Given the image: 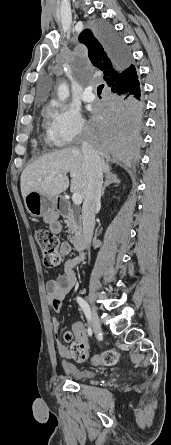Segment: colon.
<instances>
[{"mask_svg":"<svg viewBox=\"0 0 171 445\" xmlns=\"http://www.w3.org/2000/svg\"><path fill=\"white\" fill-rule=\"evenodd\" d=\"M36 240L40 246L43 255V265L47 268H55L62 262V256L59 252V239L48 230H37ZM66 341L71 340V334L66 332L64 335ZM71 353L75 360L84 361L88 356L87 348L82 343L74 342L71 345ZM118 354L113 350H106L103 353L93 357L95 364L112 366L118 362Z\"/></svg>","mask_w":171,"mask_h":445,"instance_id":"5ec220e1","label":"colon"}]
</instances>
